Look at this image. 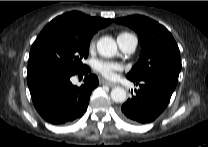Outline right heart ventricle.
<instances>
[{"label":"right heart ventricle","mask_w":208,"mask_h":147,"mask_svg":"<svg viewBox=\"0 0 208 147\" xmlns=\"http://www.w3.org/2000/svg\"><path fill=\"white\" fill-rule=\"evenodd\" d=\"M125 34H127V33H121L119 36H122V35H125ZM119 36H118V37H119Z\"/></svg>","instance_id":"obj_1"}]
</instances>
